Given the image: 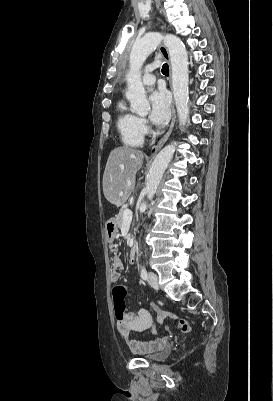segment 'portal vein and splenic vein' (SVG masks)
<instances>
[{"label":"portal vein and splenic vein","instance_id":"portal-vein-and-splenic-vein-1","mask_svg":"<svg viewBox=\"0 0 273 401\" xmlns=\"http://www.w3.org/2000/svg\"><path fill=\"white\" fill-rule=\"evenodd\" d=\"M123 194V192H121ZM133 217L132 211L130 209H125L123 213V221H126V223H131Z\"/></svg>","mask_w":273,"mask_h":401}]
</instances>
